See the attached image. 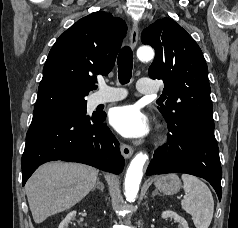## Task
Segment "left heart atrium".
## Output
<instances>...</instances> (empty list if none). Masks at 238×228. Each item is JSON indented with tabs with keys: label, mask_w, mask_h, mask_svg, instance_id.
Instances as JSON below:
<instances>
[{
	"label": "left heart atrium",
	"mask_w": 238,
	"mask_h": 228,
	"mask_svg": "<svg viewBox=\"0 0 238 228\" xmlns=\"http://www.w3.org/2000/svg\"><path fill=\"white\" fill-rule=\"evenodd\" d=\"M110 123L114 129L127 138H140L148 134L149 120L134 105L116 107L110 114Z\"/></svg>",
	"instance_id": "left-heart-atrium-1"
}]
</instances>
